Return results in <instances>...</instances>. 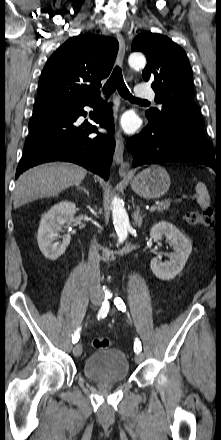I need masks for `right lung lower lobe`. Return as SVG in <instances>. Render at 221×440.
Wrapping results in <instances>:
<instances>
[{"label":"right lung lower lobe","instance_id":"right-lung-lower-lobe-1","mask_svg":"<svg viewBox=\"0 0 221 440\" xmlns=\"http://www.w3.org/2000/svg\"><path fill=\"white\" fill-rule=\"evenodd\" d=\"M84 106L95 109L92 119L106 128L108 135L98 133L94 126L77 124L79 116L87 115ZM94 132L98 135L90 136ZM114 150L111 104H100V98L35 110L29 121V137L15 178L44 162L69 161L107 180Z\"/></svg>","mask_w":221,"mask_h":440}]
</instances>
